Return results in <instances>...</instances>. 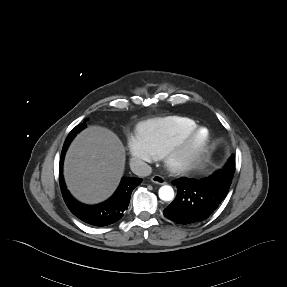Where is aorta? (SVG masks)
I'll return each mask as SVG.
<instances>
[{
  "label": "aorta",
  "mask_w": 287,
  "mask_h": 287,
  "mask_svg": "<svg viewBox=\"0 0 287 287\" xmlns=\"http://www.w3.org/2000/svg\"><path fill=\"white\" fill-rule=\"evenodd\" d=\"M159 198L163 201H171L174 198V190L169 185H164L159 189Z\"/></svg>",
  "instance_id": "1"
}]
</instances>
